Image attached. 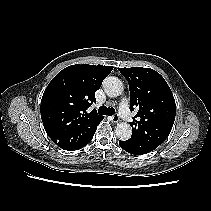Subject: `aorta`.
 Returning a JSON list of instances; mask_svg holds the SVG:
<instances>
[{
	"mask_svg": "<svg viewBox=\"0 0 211 211\" xmlns=\"http://www.w3.org/2000/svg\"><path fill=\"white\" fill-rule=\"evenodd\" d=\"M102 85L109 97H117L123 91V83L117 77H106ZM115 134L119 140L126 141L132 135V128L128 123L120 122L115 127Z\"/></svg>",
	"mask_w": 211,
	"mask_h": 211,
	"instance_id": "obj_1",
	"label": "aorta"
}]
</instances>
